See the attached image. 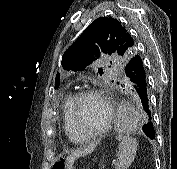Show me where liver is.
I'll use <instances>...</instances> for the list:
<instances>
[{"label":"liver","mask_w":177,"mask_h":169,"mask_svg":"<svg viewBox=\"0 0 177 169\" xmlns=\"http://www.w3.org/2000/svg\"><path fill=\"white\" fill-rule=\"evenodd\" d=\"M88 152V150L84 149V150H78V151H75L73 152L72 154H70L68 157H67V164H68V167L71 168L73 163H74V160L80 156H83L85 155L86 153Z\"/></svg>","instance_id":"obj_1"}]
</instances>
